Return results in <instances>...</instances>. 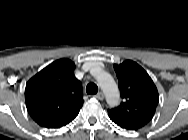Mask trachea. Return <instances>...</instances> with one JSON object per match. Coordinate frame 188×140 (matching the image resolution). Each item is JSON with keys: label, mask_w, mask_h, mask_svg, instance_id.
Instances as JSON below:
<instances>
[{"label": "trachea", "mask_w": 188, "mask_h": 140, "mask_svg": "<svg viewBox=\"0 0 188 140\" xmlns=\"http://www.w3.org/2000/svg\"><path fill=\"white\" fill-rule=\"evenodd\" d=\"M86 92L87 94L89 95H94L98 92V87L96 84L94 83H89L87 86H86Z\"/></svg>", "instance_id": "trachea-1"}]
</instances>
